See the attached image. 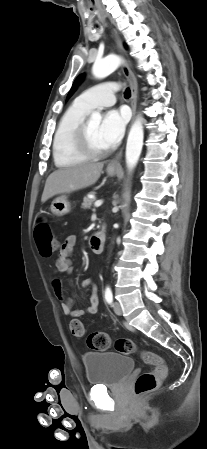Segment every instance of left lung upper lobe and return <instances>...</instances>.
<instances>
[{
  "label": "left lung upper lobe",
  "instance_id": "1",
  "mask_svg": "<svg viewBox=\"0 0 207 449\" xmlns=\"http://www.w3.org/2000/svg\"><path fill=\"white\" fill-rule=\"evenodd\" d=\"M83 77H84V75H80V76L75 80V82L73 83V86H72L71 90H70L69 93H68V97H67V98H69V97L73 94V92L76 90V88L78 87V85L81 83Z\"/></svg>",
  "mask_w": 207,
  "mask_h": 449
}]
</instances>
